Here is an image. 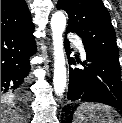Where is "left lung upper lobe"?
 Segmentation results:
<instances>
[{
    "label": "left lung upper lobe",
    "mask_w": 122,
    "mask_h": 123,
    "mask_svg": "<svg viewBox=\"0 0 122 123\" xmlns=\"http://www.w3.org/2000/svg\"><path fill=\"white\" fill-rule=\"evenodd\" d=\"M57 9L67 12V31L80 36L84 45L119 56L111 17L101 0H59Z\"/></svg>",
    "instance_id": "1"
}]
</instances>
